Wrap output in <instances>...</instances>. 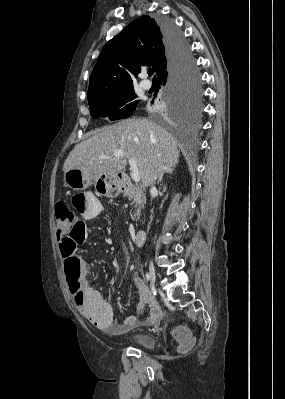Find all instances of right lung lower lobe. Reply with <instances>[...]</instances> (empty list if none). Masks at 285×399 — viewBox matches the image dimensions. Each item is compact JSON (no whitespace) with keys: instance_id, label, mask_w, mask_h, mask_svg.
Wrapping results in <instances>:
<instances>
[{"instance_id":"right-lung-lower-lobe-1","label":"right lung lower lobe","mask_w":285,"mask_h":399,"mask_svg":"<svg viewBox=\"0 0 285 399\" xmlns=\"http://www.w3.org/2000/svg\"><path fill=\"white\" fill-rule=\"evenodd\" d=\"M166 47L167 64L157 75L159 85L172 88L186 74L192 64L189 46L182 32L170 20L159 22Z\"/></svg>"}]
</instances>
